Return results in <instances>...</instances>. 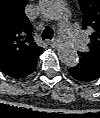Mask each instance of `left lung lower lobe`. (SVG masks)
<instances>
[{"label": "left lung lower lobe", "instance_id": "1", "mask_svg": "<svg viewBox=\"0 0 100 118\" xmlns=\"http://www.w3.org/2000/svg\"><path fill=\"white\" fill-rule=\"evenodd\" d=\"M69 73L78 81L90 82L100 77V67L80 58L79 63L69 69Z\"/></svg>", "mask_w": 100, "mask_h": 118}]
</instances>
